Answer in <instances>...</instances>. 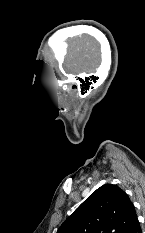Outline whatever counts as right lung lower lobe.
<instances>
[{"label": "right lung lower lobe", "mask_w": 145, "mask_h": 233, "mask_svg": "<svg viewBox=\"0 0 145 233\" xmlns=\"http://www.w3.org/2000/svg\"><path fill=\"white\" fill-rule=\"evenodd\" d=\"M129 233H142L141 226H140L138 219L134 223V225L131 228V230L129 231Z\"/></svg>", "instance_id": "right-lung-lower-lobe-1"}]
</instances>
